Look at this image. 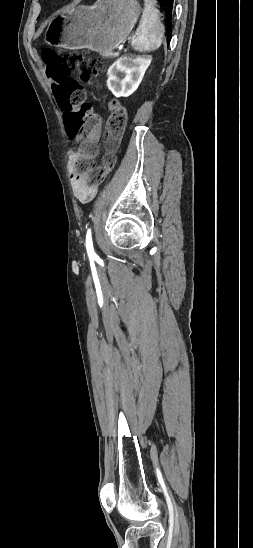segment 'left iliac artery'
Returning a JSON list of instances; mask_svg holds the SVG:
<instances>
[{"mask_svg": "<svg viewBox=\"0 0 253 548\" xmlns=\"http://www.w3.org/2000/svg\"><path fill=\"white\" fill-rule=\"evenodd\" d=\"M85 244H86V249H87V253H88L89 258L95 259L97 257V255H96V253L94 251V248H93L91 229H88V231H87L86 243Z\"/></svg>", "mask_w": 253, "mask_h": 548, "instance_id": "1", "label": "left iliac artery"}]
</instances>
